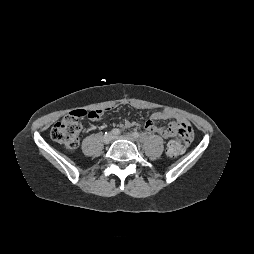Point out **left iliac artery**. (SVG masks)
Masks as SVG:
<instances>
[{
  "label": "left iliac artery",
  "mask_w": 254,
  "mask_h": 254,
  "mask_svg": "<svg viewBox=\"0 0 254 254\" xmlns=\"http://www.w3.org/2000/svg\"><path fill=\"white\" fill-rule=\"evenodd\" d=\"M133 137L134 138H139L140 137V134L138 132H133Z\"/></svg>",
  "instance_id": "left-iliac-artery-1"
}]
</instances>
